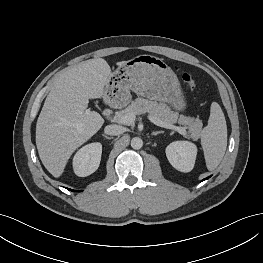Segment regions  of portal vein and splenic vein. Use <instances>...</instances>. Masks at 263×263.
<instances>
[{"instance_id": "1", "label": "portal vein and splenic vein", "mask_w": 263, "mask_h": 263, "mask_svg": "<svg viewBox=\"0 0 263 263\" xmlns=\"http://www.w3.org/2000/svg\"><path fill=\"white\" fill-rule=\"evenodd\" d=\"M135 118L136 116L132 113L130 114H127V115H124L120 118V122L122 124H125V125H131L134 123L135 121ZM148 119L155 125L157 126H160V127H164V128H167V129H172V130H175L177 131L178 133L182 134V135H186V130L184 127H179V126H176V125H173L171 123H166V122H163L159 119H156L152 116H148Z\"/></svg>"}]
</instances>
